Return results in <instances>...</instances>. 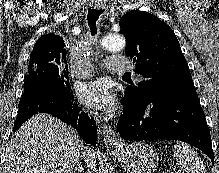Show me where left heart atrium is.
<instances>
[{
    "label": "left heart atrium",
    "mask_w": 219,
    "mask_h": 173,
    "mask_svg": "<svg viewBox=\"0 0 219 173\" xmlns=\"http://www.w3.org/2000/svg\"><path fill=\"white\" fill-rule=\"evenodd\" d=\"M77 96L85 106L110 112L116 102L115 94L103 79L83 82L78 86Z\"/></svg>",
    "instance_id": "left-heart-atrium-1"
}]
</instances>
